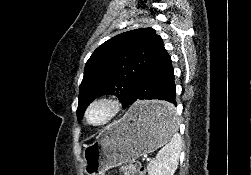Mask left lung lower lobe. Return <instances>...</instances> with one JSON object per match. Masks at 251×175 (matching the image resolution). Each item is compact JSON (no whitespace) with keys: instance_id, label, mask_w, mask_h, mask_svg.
Wrapping results in <instances>:
<instances>
[{"instance_id":"obj_1","label":"left lung lower lobe","mask_w":251,"mask_h":175,"mask_svg":"<svg viewBox=\"0 0 251 175\" xmlns=\"http://www.w3.org/2000/svg\"><path fill=\"white\" fill-rule=\"evenodd\" d=\"M144 99H158L168 103L137 107L133 111V116L136 119L148 122H168L173 119L175 115L174 106L176 107L177 103L174 69L167 51L140 78L123 107L126 108L137 100Z\"/></svg>"}]
</instances>
